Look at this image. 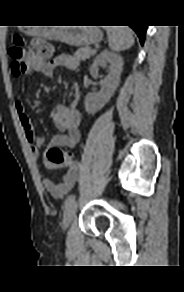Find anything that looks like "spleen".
Masks as SVG:
<instances>
[{
  "label": "spleen",
  "mask_w": 184,
  "mask_h": 292,
  "mask_svg": "<svg viewBox=\"0 0 184 292\" xmlns=\"http://www.w3.org/2000/svg\"><path fill=\"white\" fill-rule=\"evenodd\" d=\"M108 35L109 47L114 52H120L129 49L134 45L133 32L128 27L112 26L105 28Z\"/></svg>",
  "instance_id": "spleen-1"
}]
</instances>
